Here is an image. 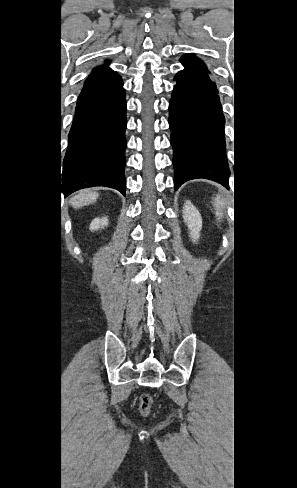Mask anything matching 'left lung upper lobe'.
Wrapping results in <instances>:
<instances>
[{
    "mask_svg": "<svg viewBox=\"0 0 297 488\" xmlns=\"http://www.w3.org/2000/svg\"><path fill=\"white\" fill-rule=\"evenodd\" d=\"M180 61L185 67V69L182 70L183 72L197 78L202 83L217 91L215 83L209 78L207 66L194 54H186L181 57Z\"/></svg>",
    "mask_w": 297,
    "mask_h": 488,
    "instance_id": "left-lung-upper-lobe-1",
    "label": "left lung upper lobe"
}]
</instances>
